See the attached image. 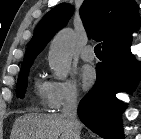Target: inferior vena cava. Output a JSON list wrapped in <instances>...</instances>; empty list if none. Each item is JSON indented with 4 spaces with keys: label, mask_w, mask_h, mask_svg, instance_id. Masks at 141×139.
Masks as SVG:
<instances>
[{
    "label": "inferior vena cava",
    "mask_w": 141,
    "mask_h": 139,
    "mask_svg": "<svg viewBox=\"0 0 141 139\" xmlns=\"http://www.w3.org/2000/svg\"><path fill=\"white\" fill-rule=\"evenodd\" d=\"M61 115L67 120L72 139H80L81 123L77 118V96L75 93L67 94L63 103Z\"/></svg>",
    "instance_id": "inferior-vena-cava-1"
}]
</instances>
